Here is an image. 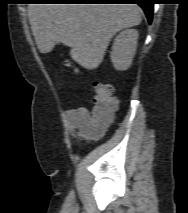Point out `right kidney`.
Returning <instances> with one entry per match:
<instances>
[{"instance_id": "ca27d5eb", "label": "right kidney", "mask_w": 188, "mask_h": 213, "mask_svg": "<svg viewBox=\"0 0 188 213\" xmlns=\"http://www.w3.org/2000/svg\"><path fill=\"white\" fill-rule=\"evenodd\" d=\"M138 40V31L135 29H126L119 33L114 39L111 61L116 70H127L133 61Z\"/></svg>"}]
</instances>
